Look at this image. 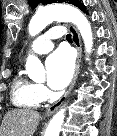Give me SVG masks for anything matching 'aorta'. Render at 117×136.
I'll list each match as a JSON object with an SVG mask.
<instances>
[{
  "mask_svg": "<svg viewBox=\"0 0 117 136\" xmlns=\"http://www.w3.org/2000/svg\"><path fill=\"white\" fill-rule=\"evenodd\" d=\"M53 21H67L77 26L83 38L85 49L90 53L93 46V35L89 21L82 12L68 5H48L38 10L29 23V34L35 36ZM26 71L30 78L44 76L45 70L38 57L29 55L26 60ZM65 118V109L61 108L50 120L45 136H59Z\"/></svg>",
  "mask_w": 117,
  "mask_h": 136,
  "instance_id": "aorta-1",
  "label": "aorta"
}]
</instances>
